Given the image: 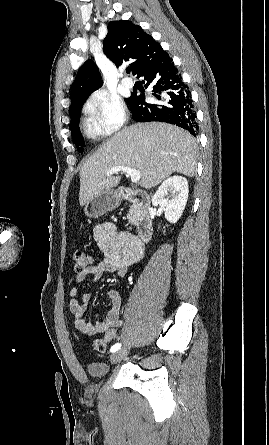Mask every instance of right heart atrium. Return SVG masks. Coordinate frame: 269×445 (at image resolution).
<instances>
[{"mask_svg":"<svg viewBox=\"0 0 269 445\" xmlns=\"http://www.w3.org/2000/svg\"><path fill=\"white\" fill-rule=\"evenodd\" d=\"M84 109L105 134L117 132L127 120V110L122 100L104 91L92 94L86 101Z\"/></svg>","mask_w":269,"mask_h":445,"instance_id":"obj_1","label":"right heart atrium"}]
</instances>
